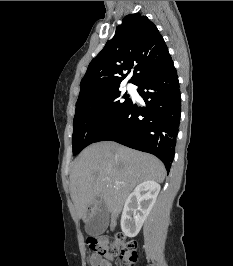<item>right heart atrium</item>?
<instances>
[{"instance_id": "obj_1", "label": "right heart atrium", "mask_w": 233, "mask_h": 266, "mask_svg": "<svg viewBox=\"0 0 233 266\" xmlns=\"http://www.w3.org/2000/svg\"><path fill=\"white\" fill-rule=\"evenodd\" d=\"M100 115L103 116V117H105L107 115V110L106 109H102L100 111Z\"/></svg>"}]
</instances>
